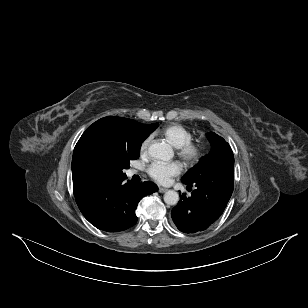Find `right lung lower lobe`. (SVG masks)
<instances>
[{
	"label": "right lung lower lobe",
	"mask_w": 308,
	"mask_h": 308,
	"mask_svg": "<svg viewBox=\"0 0 308 308\" xmlns=\"http://www.w3.org/2000/svg\"><path fill=\"white\" fill-rule=\"evenodd\" d=\"M124 180L110 178L75 196L80 211L96 228L117 232L132 227L138 202L158 190L152 182L129 184Z\"/></svg>",
	"instance_id": "right-lung-lower-lobe-1"
}]
</instances>
